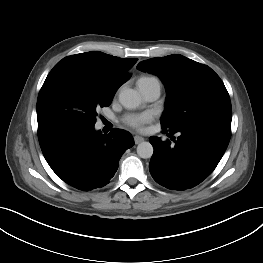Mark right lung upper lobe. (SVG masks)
<instances>
[{
	"label": "right lung upper lobe",
	"mask_w": 263,
	"mask_h": 263,
	"mask_svg": "<svg viewBox=\"0 0 263 263\" xmlns=\"http://www.w3.org/2000/svg\"><path fill=\"white\" fill-rule=\"evenodd\" d=\"M137 60L136 58L123 59L99 51H91L65 57L52 70L65 68L83 69L107 78L119 88L130 78L127 71Z\"/></svg>",
	"instance_id": "right-lung-upper-lobe-1"
}]
</instances>
